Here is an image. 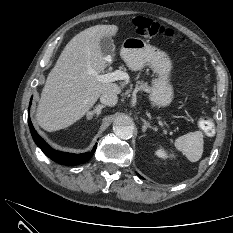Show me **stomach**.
<instances>
[{
  "instance_id": "0dacf381",
  "label": "stomach",
  "mask_w": 233,
  "mask_h": 233,
  "mask_svg": "<svg viewBox=\"0 0 233 233\" xmlns=\"http://www.w3.org/2000/svg\"><path fill=\"white\" fill-rule=\"evenodd\" d=\"M120 54L131 70H141L146 65L151 67L158 78L152 83L150 100L154 106H168L173 99L170 82L172 62L169 56L144 40L134 37L124 40Z\"/></svg>"
}]
</instances>
